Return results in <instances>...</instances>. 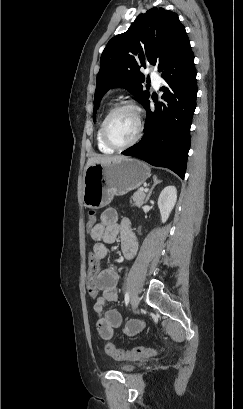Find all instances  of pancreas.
I'll list each match as a JSON object with an SVG mask.
<instances>
[{
    "instance_id": "cf45deb5",
    "label": "pancreas",
    "mask_w": 243,
    "mask_h": 409,
    "mask_svg": "<svg viewBox=\"0 0 243 409\" xmlns=\"http://www.w3.org/2000/svg\"><path fill=\"white\" fill-rule=\"evenodd\" d=\"M145 198H146V194L142 190H138L131 197V199L133 200L135 206H137V207H141L143 205V203L145 201Z\"/></svg>"
}]
</instances>
